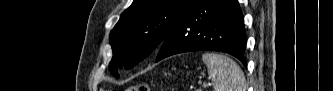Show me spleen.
<instances>
[{"instance_id":"spleen-1","label":"spleen","mask_w":333,"mask_h":91,"mask_svg":"<svg viewBox=\"0 0 333 91\" xmlns=\"http://www.w3.org/2000/svg\"><path fill=\"white\" fill-rule=\"evenodd\" d=\"M206 64L215 91H246L244 73L231 58L217 53H204Z\"/></svg>"}]
</instances>
